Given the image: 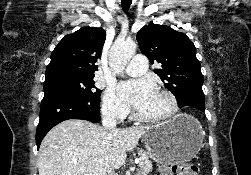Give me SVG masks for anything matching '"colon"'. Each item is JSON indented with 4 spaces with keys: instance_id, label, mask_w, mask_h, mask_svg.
Wrapping results in <instances>:
<instances>
[{
    "instance_id": "5ec220e1",
    "label": "colon",
    "mask_w": 251,
    "mask_h": 175,
    "mask_svg": "<svg viewBox=\"0 0 251 175\" xmlns=\"http://www.w3.org/2000/svg\"><path fill=\"white\" fill-rule=\"evenodd\" d=\"M160 175H199L196 164L189 162L164 163L159 166Z\"/></svg>"
}]
</instances>
